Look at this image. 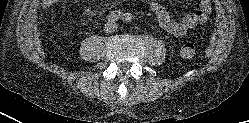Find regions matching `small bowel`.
I'll use <instances>...</instances> for the list:
<instances>
[{"mask_svg":"<svg viewBox=\"0 0 249 123\" xmlns=\"http://www.w3.org/2000/svg\"><path fill=\"white\" fill-rule=\"evenodd\" d=\"M77 0H45L47 5L57 2H73ZM150 9L156 15L159 25L175 37H182L188 31L202 25L212 11V0H200L198 8L193 13L174 19L168 10L156 1L150 2Z\"/></svg>","mask_w":249,"mask_h":123,"instance_id":"1","label":"small bowel"}]
</instances>
